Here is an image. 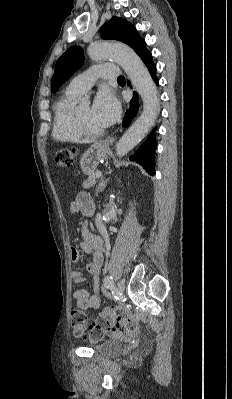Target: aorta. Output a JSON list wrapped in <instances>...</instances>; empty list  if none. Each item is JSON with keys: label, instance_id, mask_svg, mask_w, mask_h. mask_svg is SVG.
Wrapping results in <instances>:
<instances>
[{"label": "aorta", "instance_id": "1", "mask_svg": "<svg viewBox=\"0 0 232 399\" xmlns=\"http://www.w3.org/2000/svg\"><path fill=\"white\" fill-rule=\"evenodd\" d=\"M88 55L96 61L111 58L118 63L143 100L141 115L116 145V154L118 157H122L139 144L154 125L159 107L157 88L146 66L127 45L106 41L96 42L89 46ZM115 213L116 206L108 204L107 210L102 216L103 221L109 222L115 217Z\"/></svg>", "mask_w": 232, "mask_h": 399}]
</instances>
